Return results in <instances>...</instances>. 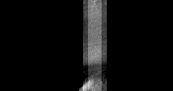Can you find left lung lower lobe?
<instances>
[{
	"label": "left lung lower lobe",
	"instance_id": "obj_1",
	"mask_svg": "<svg viewBox=\"0 0 173 91\" xmlns=\"http://www.w3.org/2000/svg\"><path fill=\"white\" fill-rule=\"evenodd\" d=\"M74 83H75V89H77L79 87V72L78 71L72 76L73 90H74Z\"/></svg>",
	"mask_w": 173,
	"mask_h": 91
}]
</instances>
